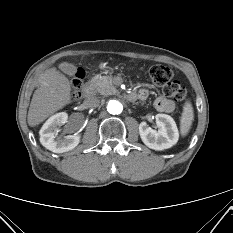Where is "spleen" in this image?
Returning <instances> with one entry per match:
<instances>
[{"mask_svg":"<svg viewBox=\"0 0 233 233\" xmlns=\"http://www.w3.org/2000/svg\"><path fill=\"white\" fill-rule=\"evenodd\" d=\"M194 119L193 108L190 102H186L184 105L180 128L183 136H186L191 128L192 122Z\"/></svg>","mask_w":233,"mask_h":233,"instance_id":"1","label":"spleen"}]
</instances>
